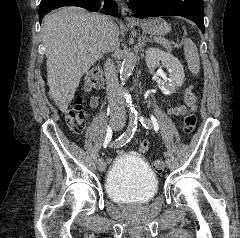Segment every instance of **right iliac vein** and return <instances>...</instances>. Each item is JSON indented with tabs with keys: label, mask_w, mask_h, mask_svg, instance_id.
Instances as JSON below:
<instances>
[{
	"label": "right iliac vein",
	"mask_w": 240,
	"mask_h": 238,
	"mask_svg": "<svg viewBox=\"0 0 240 238\" xmlns=\"http://www.w3.org/2000/svg\"><path fill=\"white\" fill-rule=\"evenodd\" d=\"M111 126H112V128H113L115 131H118V130L121 129V126H120V124H119L118 122L112 121V122H111ZM105 169H106V163H105L104 161L100 162V163L98 164V170H99L100 172H103Z\"/></svg>",
	"instance_id": "obj_1"
}]
</instances>
